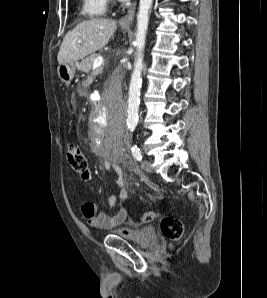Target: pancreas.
Segmentation results:
<instances>
[{
    "instance_id": "pancreas-1",
    "label": "pancreas",
    "mask_w": 267,
    "mask_h": 298,
    "mask_svg": "<svg viewBox=\"0 0 267 298\" xmlns=\"http://www.w3.org/2000/svg\"><path fill=\"white\" fill-rule=\"evenodd\" d=\"M99 55L94 54L91 55L89 57H87L86 59L82 60V62L78 65V69L80 71L86 72V73H90V70L93 67V62L94 60L98 57ZM102 70V67L97 68L94 72L93 75H96L99 71Z\"/></svg>"
}]
</instances>
